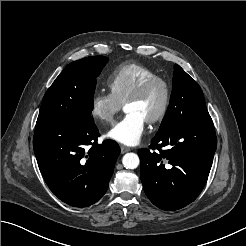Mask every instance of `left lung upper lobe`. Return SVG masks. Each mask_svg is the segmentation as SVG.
I'll list each match as a JSON object with an SVG mask.
<instances>
[{
    "mask_svg": "<svg viewBox=\"0 0 246 246\" xmlns=\"http://www.w3.org/2000/svg\"><path fill=\"white\" fill-rule=\"evenodd\" d=\"M206 116L209 113L200 86L175 64L170 104L156 135L168 131L176 123Z\"/></svg>",
    "mask_w": 246,
    "mask_h": 246,
    "instance_id": "5c2ea615",
    "label": "left lung upper lobe"
}]
</instances>
